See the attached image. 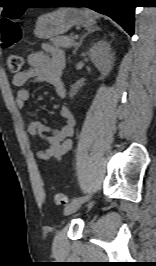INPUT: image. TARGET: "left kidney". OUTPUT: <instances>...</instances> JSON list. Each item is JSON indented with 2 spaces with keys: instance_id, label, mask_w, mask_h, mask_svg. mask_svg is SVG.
Listing matches in <instances>:
<instances>
[{
  "instance_id": "5707ae66",
  "label": "left kidney",
  "mask_w": 156,
  "mask_h": 266,
  "mask_svg": "<svg viewBox=\"0 0 156 266\" xmlns=\"http://www.w3.org/2000/svg\"><path fill=\"white\" fill-rule=\"evenodd\" d=\"M89 56L103 76H107L112 69L113 55L107 41L95 43L89 50Z\"/></svg>"
}]
</instances>
